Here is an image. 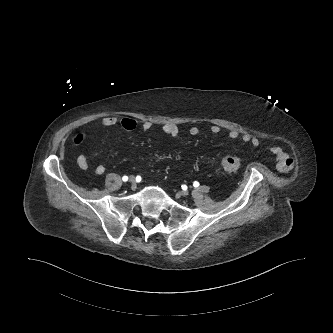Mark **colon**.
Returning <instances> with one entry per match:
<instances>
[{
	"mask_svg": "<svg viewBox=\"0 0 333 333\" xmlns=\"http://www.w3.org/2000/svg\"><path fill=\"white\" fill-rule=\"evenodd\" d=\"M83 140H84V135L78 134L74 138V143L76 145H79L83 142ZM220 166L226 173L235 174L239 170V168L241 166V162H240V159L236 156L226 155V156L221 157Z\"/></svg>",
	"mask_w": 333,
	"mask_h": 333,
	"instance_id": "colon-1",
	"label": "colon"
}]
</instances>
